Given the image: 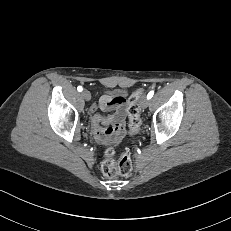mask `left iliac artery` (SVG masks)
Wrapping results in <instances>:
<instances>
[{
    "instance_id": "left-iliac-artery-1",
    "label": "left iliac artery",
    "mask_w": 231,
    "mask_h": 231,
    "mask_svg": "<svg viewBox=\"0 0 231 231\" xmlns=\"http://www.w3.org/2000/svg\"><path fill=\"white\" fill-rule=\"evenodd\" d=\"M153 95H154V91H150V92L148 93V95H147V98H148V99H151V98L153 97Z\"/></svg>"
}]
</instances>
